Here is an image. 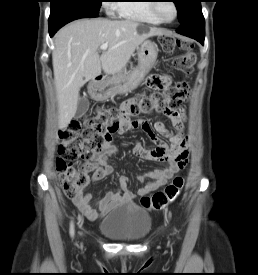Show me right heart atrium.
<instances>
[{
    "label": "right heart atrium",
    "instance_id": "obj_1",
    "mask_svg": "<svg viewBox=\"0 0 258 275\" xmlns=\"http://www.w3.org/2000/svg\"><path fill=\"white\" fill-rule=\"evenodd\" d=\"M110 6H111V8H113V5H112V4H111Z\"/></svg>",
    "mask_w": 258,
    "mask_h": 275
}]
</instances>
